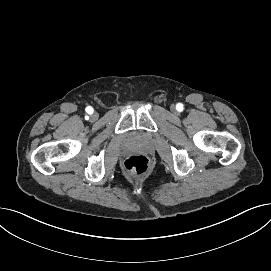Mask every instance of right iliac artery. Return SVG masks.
I'll return each mask as SVG.
<instances>
[{"instance_id": "right-iliac-artery-1", "label": "right iliac artery", "mask_w": 271, "mask_h": 271, "mask_svg": "<svg viewBox=\"0 0 271 271\" xmlns=\"http://www.w3.org/2000/svg\"><path fill=\"white\" fill-rule=\"evenodd\" d=\"M86 112H87L88 114H92V113H93V108L90 107V106H88V107L86 108Z\"/></svg>"}]
</instances>
